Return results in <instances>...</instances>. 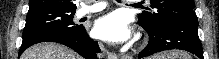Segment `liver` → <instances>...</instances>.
<instances>
[{"label": "liver", "instance_id": "obj_1", "mask_svg": "<svg viewBox=\"0 0 219 59\" xmlns=\"http://www.w3.org/2000/svg\"><path fill=\"white\" fill-rule=\"evenodd\" d=\"M20 59H82L72 50L55 43H40L31 46Z\"/></svg>", "mask_w": 219, "mask_h": 59}]
</instances>
